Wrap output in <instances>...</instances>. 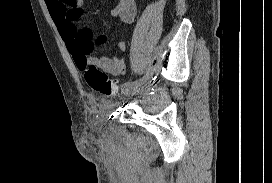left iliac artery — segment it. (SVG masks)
I'll list each match as a JSON object with an SVG mask.
<instances>
[{"mask_svg": "<svg viewBox=\"0 0 272 183\" xmlns=\"http://www.w3.org/2000/svg\"><path fill=\"white\" fill-rule=\"evenodd\" d=\"M146 79H147V77L144 76L136 81L126 82L125 84L122 85V90L127 91L132 88H140L143 86Z\"/></svg>", "mask_w": 272, "mask_h": 183, "instance_id": "obj_1", "label": "left iliac artery"}]
</instances>
